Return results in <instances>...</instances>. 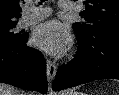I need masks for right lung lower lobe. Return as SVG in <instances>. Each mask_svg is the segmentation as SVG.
<instances>
[{
	"label": "right lung lower lobe",
	"mask_w": 119,
	"mask_h": 95,
	"mask_svg": "<svg viewBox=\"0 0 119 95\" xmlns=\"http://www.w3.org/2000/svg\"><path fill=\"white\" fill-rule=\"evenodd\" d=\"M29 35L0 40V82L47 92L46 65L40 51L26 45Z\"/></svg>",
	"instance_id": "obj_1"
}]
</instances>
